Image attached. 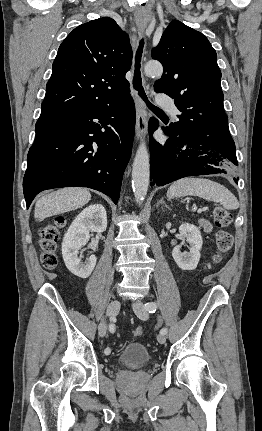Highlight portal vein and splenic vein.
Wrapping results in <instances>:
<instances>
[{"instance_id":"1","label":"portal vein and splenic vein","mask_w":262,"mask_h":431,"mask_svg":"<svg viewBox=\"0 0 262 431\" xmlns=\"http://www.w3.org/2000/svg\"><path fill=\"white\" fill-rule=\"evenodd\" d=\"M200 212H202V209H199V210H198V213H200Z\"/></svg>"}]
</instances>
